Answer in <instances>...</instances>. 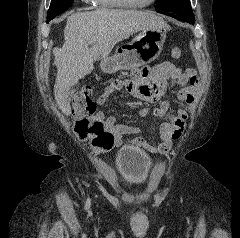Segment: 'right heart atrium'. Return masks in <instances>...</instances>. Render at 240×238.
I'll return each instance as SVG.
<instances>
[{
	"mask_svg": "<svg viewBox=\"0 0 240 238\" xmlns=\"http://www.w3.org/2000/svg\"><path fill=\"white\" fill-rule=\"evenodd\" d=\"M82 1H84V2H86V3H91V2H93V1H95V0H82Z\"/></svg>",
	"mask_w": 240,
	"mask_h": 238,
	"instance_id": "obj_1",
	"label": "right heart atrium"
}]
</instances>
